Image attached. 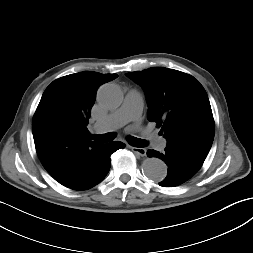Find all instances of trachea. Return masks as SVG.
Instances as JSON below:
<instances>
[{"mask_svg":"<svg viewBox=\"0 0 253 253\" xmlns=\"http://www.w3.org/2000/svg\"><path fill=\"white\" fill-rule=\"evenodd\" d=\"M115 136L116 134L111 132V133H106L103 135L93 134L91 135V138L93 140L98 141L99 143H106V142L112 141L115 138ZM128 141L134 147H145L147 144L145 140H142L136 137H128Z\"/></svg>","mask_w":253,"mask_h":253,"instance_id":"trachea-1","label":"trachea"}]
</instances>
